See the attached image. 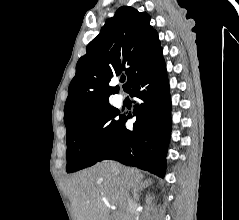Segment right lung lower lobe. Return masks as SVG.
<instances>
[{"label":"right lung lower lobe","instance_id":"obj_1","mask_svg":"<svg viewBox=\"0 0 239 220\" xmlns=\"http://www.w3.org/2000/svg\"><path fill=\"white\" fill-rule=\"evenodd\" d=\"M135 97L133 114L122 115L109 145L98 161L117 160L163 177L171 134V99L164 60L135 79L127 90ZM136 117L133 129L125 122Z\"/></svg>","mask_w":239,"mask_h":220}]
</instances>
